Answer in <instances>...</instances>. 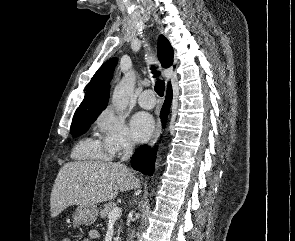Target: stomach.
Listing matches in <instances>:
<instances>
[{"instance_id":"1","label":"stomach","mask_w":295,"mask_h":241,"mask_svg":"<svg viewBox=\"0 0 295 241\" xmlns=\"http://www.w3.org/2000/svg\"><path fill=\"white\" fill-rule=\"evenodd\" d=\"M99 215V208L94 205H79L75 212L72 214L73 225H91L93 224Z\"/></svg>"}]
</instances>
